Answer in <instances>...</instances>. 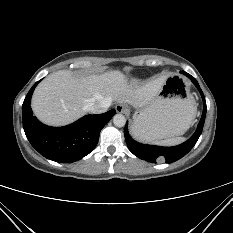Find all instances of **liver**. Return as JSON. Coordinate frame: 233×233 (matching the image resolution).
Segmentation results:
<instances>
[{
  "label": "liver",
  "instance_id": "obj_1",
  "mask_svg": "<svg viewBox=\"0 0 233 233\" xmlns=\"http://www.w3.org/2000/svg\"><path fill=\"white\" fill-rule=\"evenodd\" d=\"M168 75L141 85L130 83L124 73L112 70L100 75L75 77L68 70L48 75L35 89L31 107L36 117L51 126H64L83 117L92 103L110 99L134 108L148 105Z\"/></svg>",
  "mask_w": 233,
  "mask_h": 233
}]
</instances>
